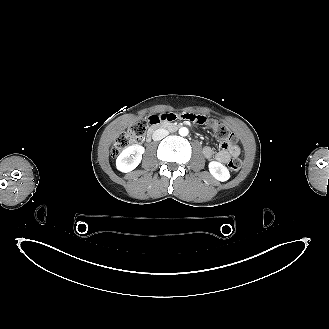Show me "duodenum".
Wrapping results in <instances>:
<instances>
[{"mask_svg": "<svg viewBox=\"0 0 329 329\" xmlns=\"http://www.w3.org/2000/svg\"><path fill=\"white\" fill-rule=\"evenodd\" d=\"M159 128H168L171 130H176L178 128V125L171 121H166V120L160 121V119H158V116H155V115L151 116L150 117V127L146 133L145 140L147 142H150L153 133Z\"/></svg>", "mask_w": 329, "mask_h": 329, "instance_id": "obj_1", "label": "duodenum"}]
</instances>
